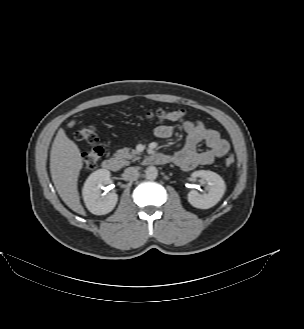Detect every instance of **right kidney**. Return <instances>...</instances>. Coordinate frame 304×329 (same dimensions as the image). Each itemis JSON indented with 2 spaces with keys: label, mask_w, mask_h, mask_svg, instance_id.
I'll use <instances>...</instances> for the list:
<instances>
[{
  "label": "right kidney",
  "mask_w": 304,
  "mask_h": 329,
  "mask_svg": "<svg viewBox=\"0 0 304 329\" xmlns=\"http://www.w3.org/2000/svg\"><path fill=\"white\" fill-rule=\"evenodd\" d=\"M110 171L99 169L93 172L85 181L82 195L87 209L95 215H104L111 212L117 201L118 195L110 192L105 196L101 194L103 185L108 184Z\"/></svg>",
  "instance_id": "ca27d5eb"
}]
</instances>
